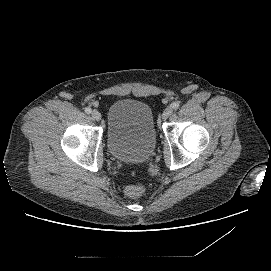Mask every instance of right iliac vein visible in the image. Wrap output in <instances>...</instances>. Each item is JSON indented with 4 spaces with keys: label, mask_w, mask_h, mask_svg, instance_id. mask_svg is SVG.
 I'll use <instances>...</instances> for the list:
<instances>
[{
    "label": "right iliac vein",
    "mask_w": 271,
    "mask_h": 271,
    "mask_svg": "<svg viewBox=\"0 0 271 271\" xmlns=\"http://www.w3.org/2000/svg\"><path fill=\"white\" fill-rule=\"evenodd\" d=\"M91 116L94 120L100 121L101 120V113L97 110H93Z\"/></svg>",
    "instance_id": "63e3f726"
}]
</instances>
